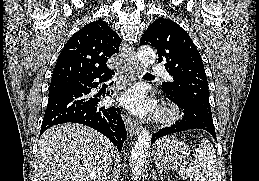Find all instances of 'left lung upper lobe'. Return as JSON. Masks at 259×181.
<instances>
[{"label": "left lung upper lobe", "instance_id": "left-lung-upper-lobe-1", "mask_svg": "<svg viewBox=\"0 0 259 181\" xmlns=\"http://www.w3.org/2000/svg\"><path fill=\"white\" fill-rule=\"evenodd\" d=\"M140 44L156 48L158 62H164L173 76V82L162 83V90L212 116L204 65L188 33L174 21L159 18L144 32Z\"/></svg>", "mask_w": 259, "mask_h": 181}]
</instances>
